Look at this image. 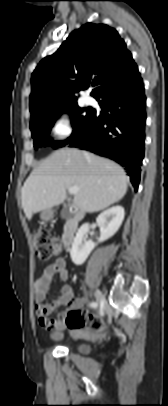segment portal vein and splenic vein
<instances>
[{
    "label": "portal vein and splenic vein",
    "mask_w": 168,
    "mask_h": 406,
    "mask_svg": "<svg viewBox=\"0 0 168 406\" xmlns=\"http://www.w3.org/2000/svg\"><path fill=\"white\" fill-rule=\"evenodd\" d=\"M70 194H77L79 192V188L77 186H71L68 188Z\"/></svg>",
    "instance_id": "obj_1"
}]
</instances>
